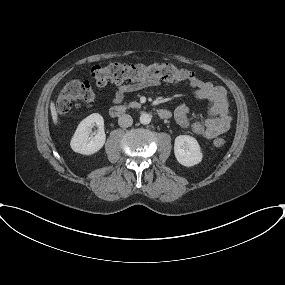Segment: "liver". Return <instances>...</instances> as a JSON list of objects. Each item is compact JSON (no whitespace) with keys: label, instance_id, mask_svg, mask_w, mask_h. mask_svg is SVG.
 Returning <instances> with one entry per match:
<instances>
[{"label":"liver","instance_id":"6515ba94","mask_svg":"<svg viewBox=\"0 0 285 285\" xmlns=\"http://www.w3.org/2000/svg\"><path fill=\"white\" fill-rule=\"evenodd\" d=\"M50 110H51V116H52L53 123L54 125H57L59 122V118H58V113L56 111V107L53 101L50 104Z\"/></svg>","mask_w":285,"mask_h":285}]
</instances>
